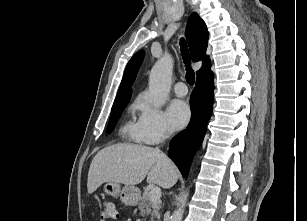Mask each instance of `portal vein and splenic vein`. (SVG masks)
Listing matches in <instances>:
<instances>
[{"label": "portal vein and splenic vein", "instance_id": "1", "mask_svg": "<svg viewBox=\"0 0 307 221\" xmlns=\"http://www.w3.org/2000/svg\"><path fill=\"white\" fill-rule=\"evenodd\" d=\"M149 198L152 202H157L161 198V189L158 186H155L149 192Z\"/></svg>", "mask_w": 307, "mask_h": 221}]
</instances>
